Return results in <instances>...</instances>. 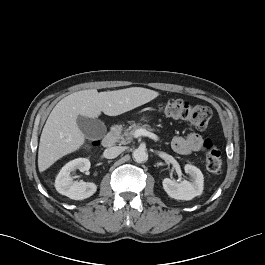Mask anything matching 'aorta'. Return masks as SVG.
Instances as JSON below:
<instances>
[{"instance_id":"aorta-1","label":"aorta","mask_w":265,"mask_h":265,"mask_svg":"<svg viewBox=\"0 0 265 265\" xmlns=\"http://www.w3.org/2000/svg\"><path fill=\"white\" fill-rule=\"evenodd\" d=\"M133 159L137 162V163H143L146 162L148 160V153L144 148H137L133 151Z\"/></svg>"}]
</instances>
